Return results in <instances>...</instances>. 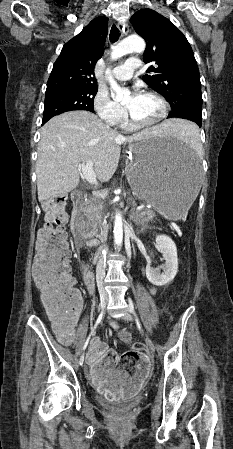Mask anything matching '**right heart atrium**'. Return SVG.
<instances>
[{
	"instance_id": "right-heart-atrium-1",
	"label": "right heart atrium",
	"mask_w": 233,
	"mask_h": 449,
	"mask_svg": "<svg viewBox=\"0 0 233 449\" xmlns=\"http://www.w3.org/2000/svg\"><path fill=\"white\" fill-rule=\"evenodd\" d=\"M93 108L100 119L110 126L117 125L126 116L124 107L115 102L104 89L96 92Z\"/></svg>"
}]
</instances>
